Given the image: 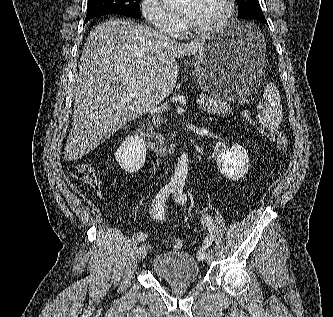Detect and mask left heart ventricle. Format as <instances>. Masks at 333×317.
<instances>
[{"label": "left heart ventricle", "mask_w": 333, "mask_h": 317, "mask_svg": "<svg viewBox=\"0 0 333 317\" xmlns=\"http://www.w3.org/2000/svg\"><path fill=\"white\" fill-rule=\"evenodd\" d=\"M191 11L187 23L197 28H204L215 23L224 13V0H186Z\"/></svg>", "instance_id": "obj_1"}]
</instances>
